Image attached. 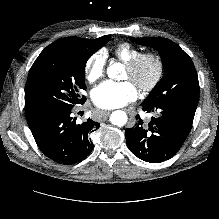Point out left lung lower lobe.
Wrapping results in <instances>:
<instances>
[{"label":"left lung lower lobe","instance_id":"1","mask_svg":"<svg viewBox=\"0 0 219 219\" xmlns=\"http://www.w3.org/2000/svg\"><path fill=\"white\" fill-rule=\"evenodd\" d=\"M199 95L177 98L163 104L142 103L144 111L159 112L144 124L137 116V124L125 130L126 142L138 158L152 163L173 157L185 142L194 119Z\"/></svg>","mask_w":219,"mask_h":219}]
</instances>
